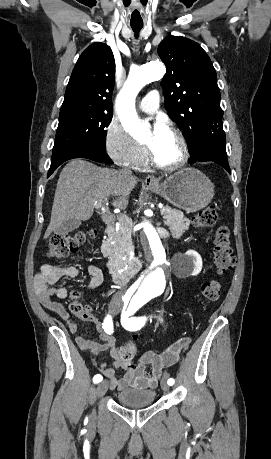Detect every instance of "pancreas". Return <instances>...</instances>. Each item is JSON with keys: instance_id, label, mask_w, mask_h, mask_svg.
I'll return each instance as SVG.
<instances>
[{"instance_id": "1", "label": "pancreas", "mask_w": 271, "mask_h": 459, "mask_svg": "<svg viewBox=\"0 0 271 459\" xmlns=\"http://www.w3.org/2000/svg\"><path fill=\"white\" fill-rule=\"evenodd\" d=\"M161 214H170L171 216L165 220V224L169 226L173 237H180L183 235L185 229H189L190 220L185 218L181 210H172L170 206H165L161 210ZM120 226L118 231H112L108 233V239L103 241L101 245V251L105 257H115V255L124 256L127 253L126 249L131 247V231H132V220L127 216H121L117 218ZM114 241V243H112Z\"/></svg>"}]
</instances>
